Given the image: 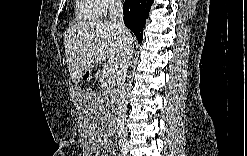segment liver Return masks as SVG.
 I'll return each instance as SVG.
<instances>
[{"mask_svg":"<svg viewBox=\"0 0 247 156\" xmlns=\"http://www.w3.org/2000/svg\"><path fill=\"white\" fill-rule=\"evenodd\" d=\"M129 38L134 41L129 32ZM68 71L77 84L91 68L105 61L120 64L124 49L122 33L107 19L80 22L69 27L64 36Z\"/></svg>","mask_w":247,"mask_h":156,"instance_id":"obj_1","label":"liver"}]
</instances>
